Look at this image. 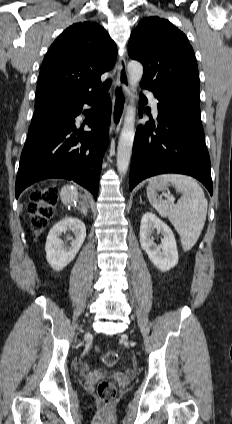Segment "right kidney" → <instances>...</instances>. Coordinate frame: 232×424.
I'll return each instance as SVG.
<instances>
[{
	"mask_svg": "<svg viewBox=\"0 0 232 424\" xmlns=\"http://www.w3.org/2000/svg\"><path fill=\"white\" fill-rule=\"evenodd\" d=\"M72 232L75 239H72L71 246H66L60 239L62 233ZM86 237L85 224L74 217H67L50 230L45 245L46 259L50 266L60 271L67 266L77 255Z\"/></svg>",
	"mask_w": 232,
	"mask_h": 424,
	"instance_id": "obj_1",
	"label": "right kidney"
}]
</instances>
